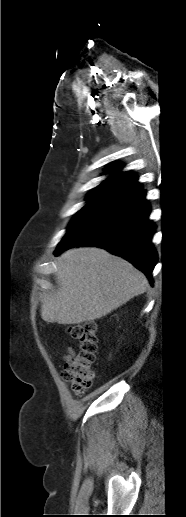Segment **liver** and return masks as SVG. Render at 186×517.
Listing matches in <instances>:
<instances>
[{
	"mask_svg": "<svg viewBox=\"0 0 186 517\" xmlns=\"http://www.w3.org/2000/svg\"><path fill=\"white\" fill-rule=\"evenodd\" d=\"M55 293L45 295L47 323L80 324L109 314L148 287L145 275L121 257L96 247L73 248L57 259Z\"/></svg>",
	"mask_w": 186,
	"mask_h": 517,
	"instance_id": "6515ba94",
	"label": "liver"
}]
</instances>
